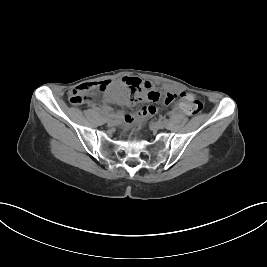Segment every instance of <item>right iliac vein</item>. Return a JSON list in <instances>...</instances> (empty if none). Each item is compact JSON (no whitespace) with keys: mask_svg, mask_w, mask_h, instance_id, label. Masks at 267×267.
<instances>
[{"mask_svg":"<svg viewBox=\"0 0 267 267\" xmlns=\"http://www.w3.org/2000/svg\"><path fill=\"white\" fill-rule=\"evenodd\" d=\"M106 122L111 124V125L115 123V121L113 119H106Z\"/></svg>","mask_w":267,"mask_h":267,"instance_id":"1","label":"right iliac vein"}]
</instances>
